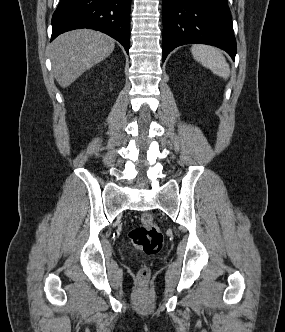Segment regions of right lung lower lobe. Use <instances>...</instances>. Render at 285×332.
I'll return each mask as SVG.
<instances>
[{
  "mask_svg": "<svg viewBox=\"0 0 285 332\" xmlns=\"http://www.w3.org/2000/svg\"><path fill=\"white\" fill-rule=\"evenodd\" d=\"M131 0H61L52 17L54 40L63 32L91 28L119 41L129 53Z\"/></svg>",
  "mask_w": 285,
  "mask_h": 332,
  "instance_id": "obj_1",
  "label": "right lung lower lobe"
}]
</instances>
